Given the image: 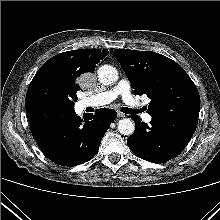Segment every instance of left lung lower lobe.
Listing matches in <instances>:
<instances>
[{
    "label": "left lung lower lobe",
    "mask_w": 220,
    "mask_h": 220,
    "mask_svg": "<svg viewBox=\"0 0 220 220\" xmlns=\"http://www.w3.org/2000/svg\"><path fill=\"white\" fill-rule=\"evenodd\" d=\"M199 111L176 110L152 116L151 125L131 116L135 132L127 139L130 150L152 163H164L177 156L195 132Z\"/></svg>",
    "instance_id": "1"
}]
</instances>
